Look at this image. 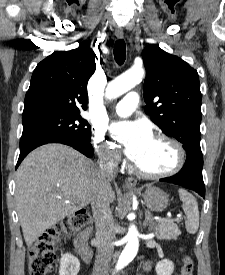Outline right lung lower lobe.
Here are the masks:
<instances>
[{"instance_id":"right-lung-lower-lobe-1","label":"right lung lower lobe","mask_w":225,"mask_h":275,"mask_svg":"<svg viewBox=\"0 0 225 275\" xmlns=\"http://www.w3.org/2000/svg\"><path fill=\"white\" fill-rule=\"evenodd\" d=\"M47 143H62L69 145L76 150L80 151L87 157L91 158L93 155V147L90 143L81 142L67 136L58 134L44 133V132H31L22 134L20 139V155L16 165L19 166L25 156L38 146Z\"/></svg>"}]
</instances>
